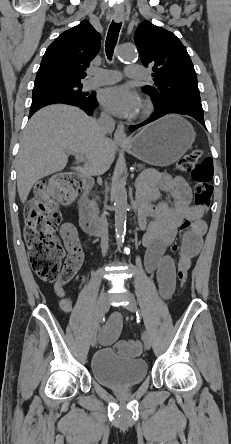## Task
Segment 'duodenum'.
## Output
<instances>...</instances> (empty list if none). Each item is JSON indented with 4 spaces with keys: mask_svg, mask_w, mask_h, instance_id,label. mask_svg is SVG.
I'll list each match as a JSON object with an SVG mask.
<instances>
[{
    "mask_svg": "<svg viewBox=\"0 0 231 444\" xmlns=\"http://www.w3.org/2000/svg\"><path fill=\"white\" fill-rule=\"evenodd\" d=\"M83 181V196L79 201L80 210V223L84 231L91 236H101V231L98 227L100 226V218L93 213L91 205L88 201V195L93 187V180L87 174H82Z\"/></svg>",
    "mask_w": 231,
    "mask_h": 444,
    "instance_id": "obj_1",
    "label": "duodenum"
}]
</instances>
